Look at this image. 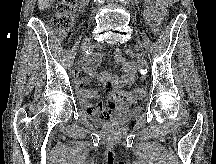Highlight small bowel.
Segmentation results:
<instances>
[{"label":"small bowel","mask_w":216,"mask_h":164,"mask_svg":"<svg viewBox=\"0 0 216 164\" xmlns=\"http://www.w3.org/2000/svg\"><path fill=\"white\" fill-rule=\"evenodd\" d=\"M166 2L167 0H147L146 17L151 23L156 24L161 19ZM116 57L122 63L124 70L123 76L106 72L96 73L95 67L100 60L99 54H94L85 61L84 70L91 77L104 82L108 88H121L133 82L136 75V67L133 63L123 60L120 50L116 51ZM74 80L81 105L91 117L105 120L113 116L118 108V103L112 97L114 90L111 91L110 99L106 106L102 103L94 104L92 100L98 97V93L93 89H87L85 87L89 79L83 76L81 70H75Z\"/></svg>","instance_id":"small-bowel-1"}]
</instances>
